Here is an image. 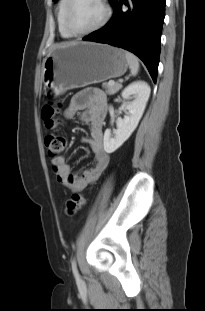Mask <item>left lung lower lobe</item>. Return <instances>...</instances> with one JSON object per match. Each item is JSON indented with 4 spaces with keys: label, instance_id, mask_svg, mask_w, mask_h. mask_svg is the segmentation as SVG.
I'll use <instances>...</instances> for the list:
<instances>
[{
    "label": "left lung lower lobe",
    "instance_id": "left-lung-lower-lobe-1",
    "mask_svg": "<svg viewBox=\"0 0 205 311\" xmlns=\"http://www.w3.org/2000/svg\"><path fill=\"white\" fill-rule=\"evenodd\" d=\"M166 0H114L111 20L83 40L106 43L138 56L156 82ZM126 5L128 10L122 8Z\"/></svg>",
    "mask_w": 205,
    "mask_h": 311
}]
</instances>
